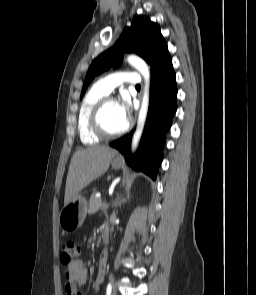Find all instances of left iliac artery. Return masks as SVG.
Listing matches in <instances>:
<instances>
[{"label": "left iliac artery", "mask_w": 256, "mask_h": 295, "mask_svg": "<svg viewBox=\"0 0 256 295\" xmlns=\"http://www.w3.org/2000/svg\"><path fill=\"white\" fill-rule=\"evenodd\" d=\"M111 291H112V284H111V282H110V283H108V285H107L106 295H111Z\"/></svg>", "instance_id": "1"}]
</instances>
